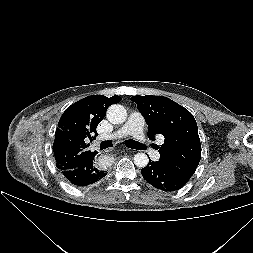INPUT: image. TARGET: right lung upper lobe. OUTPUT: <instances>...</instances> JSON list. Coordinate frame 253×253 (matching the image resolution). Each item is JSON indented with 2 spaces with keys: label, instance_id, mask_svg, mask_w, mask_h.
Listing matches in <instances>:
<instances>
[{
  "label": "right lung upper lobe",
  "instance_id": "right-lung-upper-lobe-1",
  "mask_svg": "<svg viewBox=\"0 0 253 253\" xmlns=\"http://www.w3.org/2000/svg\"><path fill=\"white\" fill-rule=\"evenodd\" d=\"M119 96L92 95L69 106L62 114L55 134L53 152L60 171L75 169L94 160L97 151H90L87 139L97 135L96 127Z\"/></svg>",
  "mask_w": 253,
  "mask_h": 253
}]
</instances>
